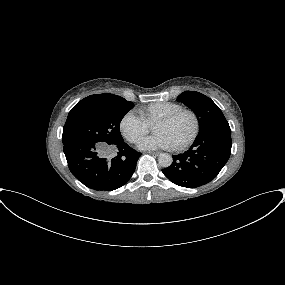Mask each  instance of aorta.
<instances>
[{
	"label": "aorta",
	"instance_id": "1",
	"mask_svg": "<svg viewBox=\"0 0 285 285\" xmlns=\"http://www.w3.org/2000/svg\"><path fill=\"white\" fill-rule=\"evenodd\" d=\"M158 162H159L160 166L166 168V167H169L172 164L173 158L168 153H162L158 157Z\"/></svg>",
	"mask_w": 285,
	"mask_h": 285
}]
</instances>
